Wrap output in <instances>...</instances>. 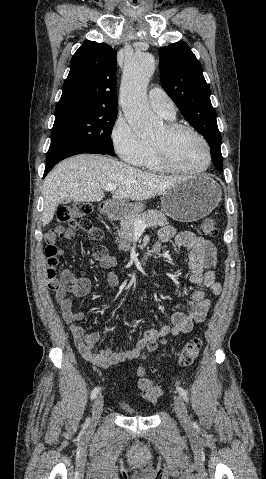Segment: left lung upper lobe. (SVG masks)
I'll return each instance as SVG.
<instances>
[{"mask_svg": "<svg viewBox=\"0 0 266 479\" xmlns=\"http://www.w3.org/2000/svg\"><path fill=\"white\" fill-rule=\"evenodd\" d=\"M163 89L186 120L207 140L212 161L222 171L221 134L201 63L183 41L159 49Z\"/></svg>", "mask_w": 266, "mask_h": 479, "instance_id": "left-lung-upper-lobe-1", "label": "left lung upper lobe"}]
</instances>
